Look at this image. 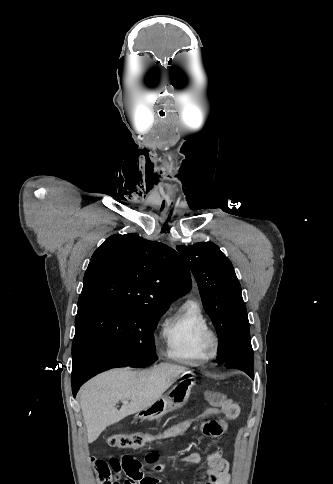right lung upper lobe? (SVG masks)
<instances>
[{
  "mask_svg": "<svg viewBox=\"0 0 333 484\" xmlns=\"http://www.w3.org/2000/svg\"><path fill=\"white\" fill-rule=\"evenodd\" d=\"M191 286L181 256L135 233L112 235L94 252L78 305L103 302L165 311Z\"/></svg>",
  "mask_w": 333,
  "mask_h": 484,
  "instance_id": "cb5924a9",
  "label": "right lung upper lobe"
}]
</instances>
